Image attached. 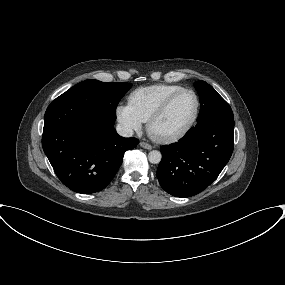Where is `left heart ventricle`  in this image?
<instances>
[{
    "label": "left heart ventricle",
    "instance_id": "obj_1",
    "mask_svg": "<svg viewBox=\"0 0 285 285\" xmlns=\"http://www.w3.org/2000/svg\"><path fill=\"white\" fill-rule=\"evenodd\" d=\"M195 109V98L191 93L179 95L166 113L154 124L153 130L159 135L178 132L191 119Z\"/></svg>",
    "mask_w": 285,
    "mask_h": 285
}]
</instances>
